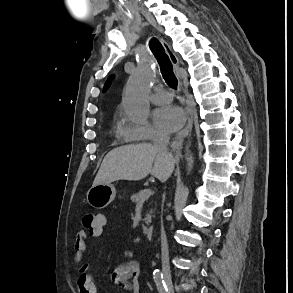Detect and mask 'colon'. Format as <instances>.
<instances>
[{"label": "colon", "mask_w": 293, "mask_h": 293, "mask_svg": "<svg viewBox=\"0 0 293 293\" xmlns=\"http://www.w3.org/2000/svg\"><path fill=\"white\" fill-rule=\"evenodd\" d=\"M82 224L91 234H93L101 230L103 222L99 215L93 212H85L82 215Z\"/></svg>", "instance_id": "colon-1"}]
</instances>
